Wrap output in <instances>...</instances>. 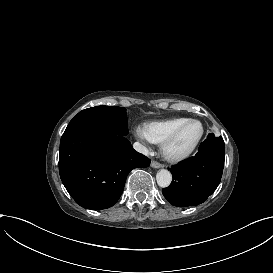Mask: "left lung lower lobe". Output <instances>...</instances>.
I'll return each instance as SVG.
<instances>
[{
    "mask_svg": "<svg viewBox=\"0 0 273 273\" xmlns=\"http://www.w3.org/2000/svg\"><path fill=\"white\" fill-rule=\"evenodd\" d=\"M224 157L222 137L208 134L194 157L171 167L173 181L162 189L166 200L176 207L195 206L206 201L220 183Z\"/></svg>",
    "mask_w": 273,
    "mask_h": 273,
    "instance_id": "0a47b994",
    "label": "left lung lower lobe"
}]
</instances>
